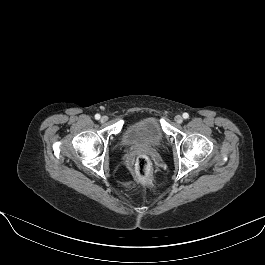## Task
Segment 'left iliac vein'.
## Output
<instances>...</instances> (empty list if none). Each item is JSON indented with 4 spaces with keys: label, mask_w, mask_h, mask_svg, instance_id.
<instances>
[{
    "label": "left iliac vein",
    "mask_w": 265,
    "mask_h": 265,
    "mask_svg": "<svg viewBox=\"0 0 265 265\" xmlns=\"http://www.w3.org/2000/svg\"><path fill=\"white\" fill-rule=\"evenodd\" d=\"M175 121L178 124H181L183 122V117L181 115H177V116H175Z\"/></svg>",
    "instance_id": "left-iliac-vein-1"
}]
</instances>
